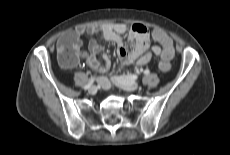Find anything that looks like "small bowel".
Instances as JSON below:
<instances>
[{"mask_svg": "<svg viewBox=\"0 0 230 155\" xmlns=\"http://www.w3.org/2000/svg\"><path fill=\"white\" fill-rule=\"evenodd\" d=\"M125 31L126 27L123 24L115 26L91 25L88 27H77L62 36L59 39V44L68 41L70 38H74L76 40L74 47L75 49H79L82 35L99 33L104 40L113 42L117 46V53L122 65L131 63L145 65L153 56H161L165 49L172 48L174 50L172 39L161 29H154L152 31L153 39L157 41L160 46H151L149 30L143 24H134L131 27L128 39L133 43V47L129 50L122 37ZM156 31H160L164 35L162 37H157L155 36ZM99 50L100 46L98 42L95 39H91L88 43L87 64L93 70L106 72L110 69L111 62L106 55L104 56V61H100L97 58ZM98 82L103 89L110 88V82L107 78L101 77L98 79Z\"/></svg>", "mask_w": 230, "mask_h": 155, "instance_id": "small-bowel-1", "label": "small bowel"}]
</instances>
